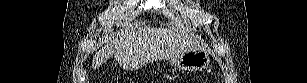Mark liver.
Here are the masks:
<instances>
[{"label": "liver", "mask_w": 307, "mask_h": 83, "mask_svg": "<svg viewBox=\"0 0 307 83\" xmlns=\"http://www.w3.org/2000/svg\"><path fill=\"white\" fill-rule=\"evenodd\" d=\"M170 29L135 27L110 37L93 57V68L99 67L113 54L123 68H140L149 62L174 59L179 54L192 50L191 40Z\"/></svg>", "instance_id": "1"}]
</instances>
